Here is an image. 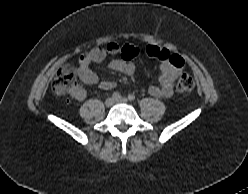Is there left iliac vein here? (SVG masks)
I'll use <instances>...</instances> for the list:
<instances>
[{
	"instance_id": "obj_1",
	"label": "left iliac vein",
	"mask_w": 248,
	"mask_h": 194,
	"mask_svg": "<svg viewBox=\"0 0 248 194\" xmlns=\"http://www.w3.org/2000/svg\"><path fill=\"white\" fill-rule=\"evenodd\" d=\"M115 103H123V104H127L128 103V99L125 97H122L120 99L115 100Z\"/></svg>"
}]
</instances>
